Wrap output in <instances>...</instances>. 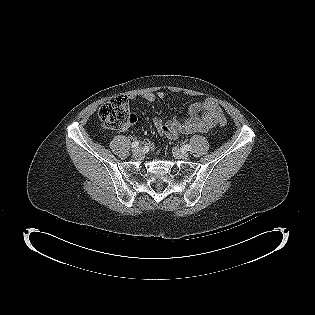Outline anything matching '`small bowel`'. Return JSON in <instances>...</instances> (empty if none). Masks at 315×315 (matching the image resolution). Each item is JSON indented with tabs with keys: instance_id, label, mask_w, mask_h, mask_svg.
<instances>
[{
	"instance_id": "obj_1",
	"label": "small bowel",
	"mask_w": 315,
	"mask_h": 315,
	"mask_svg": "<svg viewBox=\"0 0 315 315\" xmlns=\"http://www.w3.org/2000/svg\"><path fill=\"white\" fill-rule=\"evenodd\" d=\"M164 92L145 93L143 98L148 102L156 99H165ZM131 98H133L131 96ZM189 117L185 120L177 118L164 121L159 117L153 118L152 122L157 133L166 138L176 139L180 134H191L196 132H206L214 127L223 117L222 110L218 103L212 99H206L202 103H196L189 108ZM151 145L150 141L145 142Z\"/></svg>"
}]
</instances>
